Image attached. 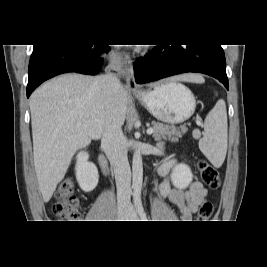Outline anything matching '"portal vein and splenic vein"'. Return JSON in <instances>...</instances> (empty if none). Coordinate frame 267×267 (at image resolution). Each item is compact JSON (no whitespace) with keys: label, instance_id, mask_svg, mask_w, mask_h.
Segmentation results:
<instances>
[{"label":"portal vein and splenic vein","instance_id":"portal-vein-and-splenic-vein-1","mask_svg":"<svg viewBox=\"0 0 267 267\" xmlns=\"http://www.w3.org/2000/svg\"><path fill=\"white\" fill-rule=\"evenodd\" d=\"M154 132L153 128H148L147 129V134L151 135Z\"/></svg>","mask_w":267,"mask_h":267}]
</instances>
